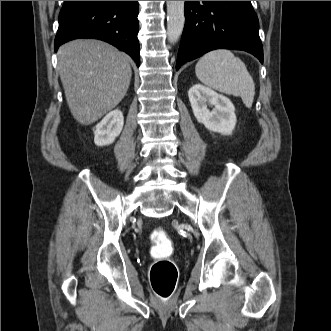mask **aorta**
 Returning a JSON list of instances; mask_svg holds the SVG:
<instances>
[{
  "instance_id": "aorta-1",
  "label": "aorta",
  "mask_w": 331,
  "mask_h": 331,
  "mask_svg": "<svg viewBox=\"0 0 331 331\" xmlns=\"http://www.w3.org/2000/svg\"><path fill=\"white\" fill-rule=\"evenodd\" d=\"M185 1H167V37L171 44L176 43L185 23Z\"/></svg>"
}]
</instances>
